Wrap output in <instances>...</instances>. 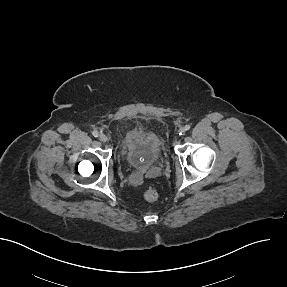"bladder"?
<instances>
[{"label":"bladder","instance_id":"bladder-1","mask_svg":"<svg viewBox=\"0 0 287 287\" xmlns=\"http://www.w3.org/2000/svg\"><path fill=\"white\" fill-rule=\"evenodd\" d=\"M162 149L160 136L142 126L131 127L120 140V158L135 169H146L155 164Z\"/></svg>","mask_w":287,"mask_h":287}]
</instances>
